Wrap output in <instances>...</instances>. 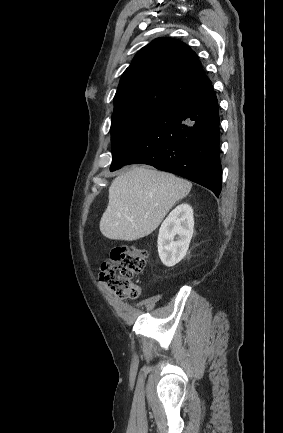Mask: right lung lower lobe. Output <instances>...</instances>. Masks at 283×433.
I'll list each match as a JSON object with an SVG mask.
<instances>
[{"mask_svg":"<svg viewBox=\"0 0 283 433\" xmlns=\"http://www.w3.org/2000/svg\"><path fill=\"white\" fill-rule=\"evenodd\" d=\"M219 135V109L211 85L150 120L113 158L110 170L148 164L196 182L219 197Z\"/></svg>","mask_w":283,"mask_h":433,"instance_id":"98d812e1","label":"right lung lower lobe"}]
</instances>
